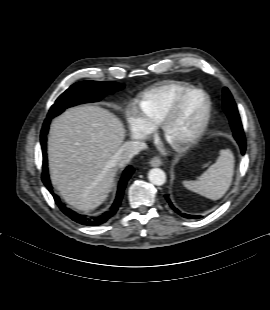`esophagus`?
I'll list each match as a JSON object with an SVG mask.
<instances>
[{"mask_svg":"<svg viewBox=\"0 0 270 310\" xmlns=\"http://www.w3.org/2000/svg\"><path fill=\"white\" fill-rule=\"evenodd\" d=\"M149 164L152 167H159L162 164V160L159 157L155 156L150 160Z\"/></svg>","mask_w":270,"mask_h":310,"instance_id":"34e87169","label":"esophagus"}]
</instances>
